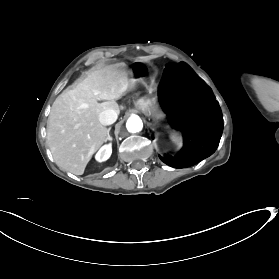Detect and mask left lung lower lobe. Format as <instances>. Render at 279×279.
<instances>
[{"mask_svg":"<svg viewBox=\"0 0 279 279\" xmlns=\"http://www.w3.org/2000/svg\"><path fill=\"white\" fill-rule=\"evenodd\" d=\"M160 103L170 124L183 132V149L159 156L167 165L186 168L209 157L218 147L222 114L210 88L185 63L167 64L159 86Z\"/></svg>","mask_w":279,"mask_h":279,"instance_id":"0a47b994","label":"left lung lower lobe"}]
</instances>
